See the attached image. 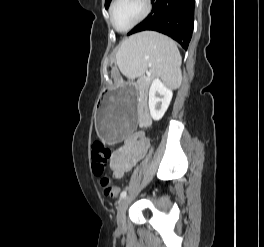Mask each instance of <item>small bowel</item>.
<instances>
[{
	"label": "small bowel",
	"mask_w": 264,
	"mask_h": 247,
	"mask_svg": "<svg viewBox=\"0 0 264 247\" xmlns=\"http://www.w3.org/2000/svg\"><path fill=\"white\" fill-rule=\"evenodd\" d=\"M151 123L146 113L139 116V124L146 127ZM149 140L143 131H136L125 138L122 145L113 152L110 168L115 179H121L125 173L132 170L137 162L145 155Z\"/></svg>",
	"instance_id": "c3829d8e"
}]
</instances>
